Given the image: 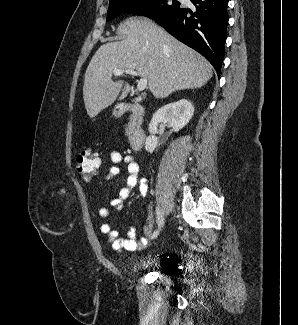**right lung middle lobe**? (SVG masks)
I'll use <instances>...</instances> for the list:
<instances>
[{
	"mask_svg": "<svg viewBox=\"0 0 298 325\" xmlns=\"http://www.w3.org/2000/svg\"><path fill=\"white\" fill-rule=\"evenodd\" d=\"M176 0H114L109 3L106 21H110L121 13L144 15L153 18L163 12L178 8Z\"/></svg>",
	"mask_w": 298,
	"mask_h": 325,
	"instance_id": "1",
	"label": "right lung middle lobe"
}]
</instances>
